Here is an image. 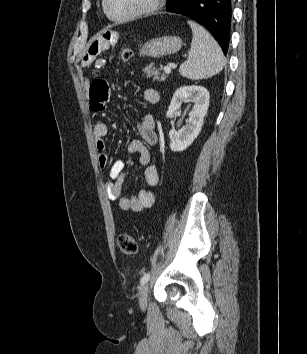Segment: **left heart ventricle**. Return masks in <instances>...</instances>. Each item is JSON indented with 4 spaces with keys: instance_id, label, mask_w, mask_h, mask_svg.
Returning a JSON list of instances; mask_svg holds the SVG:
<instances>
[{
    "instance_id": "left-heart-ventricle-1",
    "label": "left heart ventricle",
    "mask_w": 307,
    "mask_h": 354,
    "mask_svg": "<svg viewBox=\"0 0 307 354\" xmlns=\"http://www.w3.org/2000/svg\"><path fill=\"white\" fill-rule=\"evenodd\" d=\"M150 0H109L108 6L112 15L125 16L144 8Z\"/></svg>"
}]
</instances>
